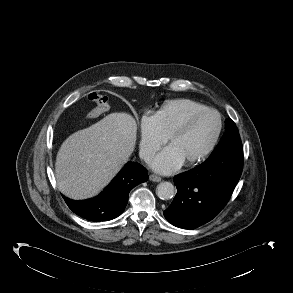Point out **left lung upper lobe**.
<instances>
[{"mask_svg":"<svg viewBox=\"0 0 293 293\" xmlns=\"http://www.w3.org/2000/svg\"><path fill=\"white\" fill-rule=\"evenodd\" d=\"M225 129L226 132L221 138L218 146L204 163L210 164L217 161L221 155V151L226 148L232 149L237 146L242 147L238 129L232 119L228 118L225 120Z\"/></svg>","mask_w":293,"mask_h":293,"instance_id":"obj_1","label":"left lung upper lobe"}]
</instances>
